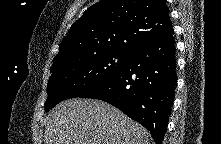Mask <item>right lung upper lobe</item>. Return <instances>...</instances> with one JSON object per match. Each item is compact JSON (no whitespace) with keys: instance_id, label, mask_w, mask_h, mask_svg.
Masks as SVG:
<instances>
[{"instance_id":"cb5924a9","label":"right lung upper lobe","mask_w":221,"mask_h":144,"mask_svg":"<svg viewBox=\"0 0 221 144\" xmlns=\"http://www.w3.org/2000/svg\"><path fill=\"white\" fill-rule=\"evenodd\" d=\"M171 29L164 0H101L72 25L53 68L105 52L131 54Z\"/></svg>"}]
</instances>
